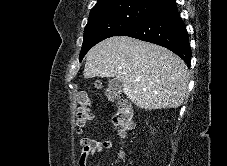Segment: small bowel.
Returning a JSON list of instances; mask_svg holds the SVG:
<instances>
[{
    "label": "small bowel",
    "instance_id": "obj_1",
    "mask_svg": "<svg viewBox=\"0 0 227 166\" xmlns=\"http://www.w3.org/2000/svg\"><path fill=\"white\" fill-rule=\"evenodd\" d=\"M79 166H88L91 157L108 150L112 147L109 140H96L92 138H84L80 142Z\"/></svg>",
    "mask_w": 227,
    "mask_h": 166
}]
</instances>
